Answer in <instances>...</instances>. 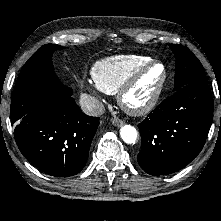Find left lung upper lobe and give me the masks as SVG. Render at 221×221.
<instances>
[{"mask_svg":"<svg viewBox=\"0 0 221 221\" xmlns=\"http://www.w3.org/2000/svg\"><path fill=\"white\" fill-rule=\"evenodd\" d=\"M176 58L175 91L193 82H207L202 64L186 47L170 44Z\"/></svg>","mask_w":221,"mask_h":221,"instance_id":"obj_1","label":"left lung upper lobe"}]
</instances>
